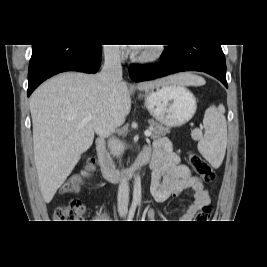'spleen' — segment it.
Segmentation results:
<instances>
[{"label": "spleen", "mask_w": 267, "mask_h": 267, "mask_svg": "<svg viewBox=\"0 0 267 267\" xmlns=\"http://www.w3.org/2000/svg\"><path fill=\"white\" fill-rule=\"evenodd\" d=\"M224 113L223 105L206 111L203 120L205 134L198 143L199 152L214 168L221 165L226 151L227 126Z\"/></svg>", "instance_id": "1"}]
</instances>
